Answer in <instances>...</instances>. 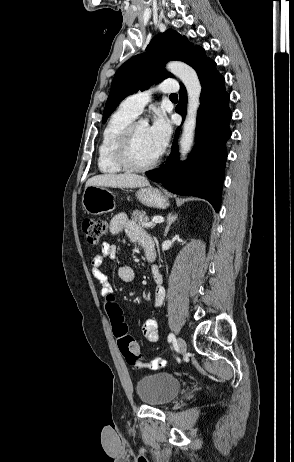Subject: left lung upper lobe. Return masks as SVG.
<instances>
[{
  "label": "left lung upper lobe",
  "instance_id": "obj_1",
  "mask_svg": "<svg viewBox=\"0 0 294 462\" xmlns=\"http://www.w3.org/2000/svg\"><path fill=\"white\" fill-rule=\"evenodd\" d=\"M169 60L183 61L197 70L210 59L201 47H193L187 38L172 29L158 34L146 48V53L132 57L116 72L102 122H106L118 104L128 95L173 77L164 68Z\"/></svg>",
  "mask_w": 294,
  "mask_h": 462
}]
</instances>
